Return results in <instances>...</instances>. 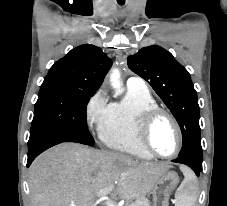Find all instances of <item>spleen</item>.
Wrapping results in <instances>:
<instances>
[{
	"label": "spleen",
	"instance_id": "spleen-1",
	"mask_svg": "<svg viewBox=\"0 0 227 206\" xmlns=\"http://www.w3.org/2000/svg\"><path fill=\"white\" fill-rule=\"evenodd\" d=\"M184 174L185 180L176 193V206H194L196 201L194 178L188 171H184Z\"/></svg>",
	"mask_w": 227,
	"mask_h": 206
}]
</instances>
